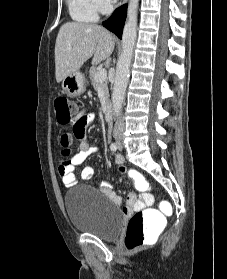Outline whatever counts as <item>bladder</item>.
Wrapping results in <instances>:
<instances>
[{"mask_svg": "<svg viewBox=\"0 0 227 279\" xmlns=\"http://www.w3.org/2000/svg\"><path fill=\"white\" fill-rule=\"evenodd\" d=\"M87 186L70 190L64 197V207L71 224L78 230L103 240H114L123 228V217L117 205L103 192L87 191Z\"/></svg>", "mask_w": 227, "mask_h": 279, "instance_id": "1", "label": "bladder"}]
</instances>
